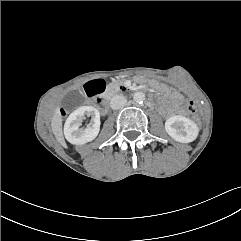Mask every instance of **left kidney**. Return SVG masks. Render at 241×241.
<instances>
[{"label": "left kidney", "mask_w": 241, "mask_h": 241, "mask_svg": "<svg viewBox=\"0 0 241 241\" xmlns=\"http://www.w3.org/2000/svg\"><path fill=\"white\" fill-rule=\"evenodd\" d=\"M165 130L170 137L181 143L193 142L199 133L198 126L184 116H172L165 122Z\"/></svg>", "instance_id": "5707ae66"}]
</instances>
